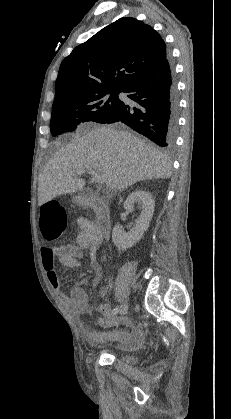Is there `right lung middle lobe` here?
<instances>
[{"label": "right lung middle lobe", "mask_w": 231, "mask_h": 419, "mask_svg": "<svg viewBox=\"0 0 231 419\" xmlns=\"http://www.w3.org/2000/svg\"><path fill=\"white\" fill-rule=\"evenodd\" d=\"M121 91L105 89L53 103L50 121L52 135L73 131L81 122H103L123 103L118 99Z\"/></svg>", "instance_id": "obj_1"}]
</instances>
